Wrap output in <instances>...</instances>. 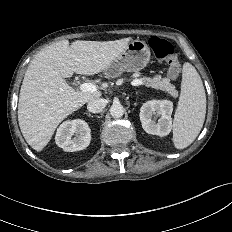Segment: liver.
Instances as JSON below:
<instances>
[{
	"label": "liver",
	"mask_w": 232,
	"mask_h": 232,
	"mask_svg": "<svg viewBox=\"0 0 232 232\" xmlns=\"http://www.w3.org/2000/svg\"><path fill=\"white\" fill-rule=\"evenodd\" d=\"M131 39L77 40L71 45L62 40L35 55L25 73L18 103L21 132L34 150H43L67 116L101 96L100 91H75L65 78L74 73L94 75L104 71Z\"/></svg>",
	"instance_id": "1"
}]
</instances>
